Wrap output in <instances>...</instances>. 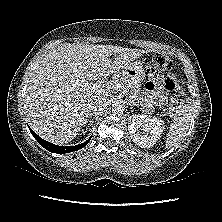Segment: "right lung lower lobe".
Instances as JSON below:
<instances>
[{
	"label": "right lung lower lobe",
	"instance_id": "right-lung-lower-lobe-1",
	"mask_svg": "<svg viewBox=\"0 0 222 222\" xmlns=\"http://www.w3.org/2000/svg\"><path fill=\"white\" fill-rule=\"evenodd\" d=\"M29 129H30L31 134L36 138V140L39 142L40 145H42L48 151L53 152V153H58V154L69 153V152L79 150L83 148L84 146H86L88 142L90 141V138H89L86 142L80 145L63 147V146H58V145H55V144H52L50 142L43 140L30 127Z\"/></svg>",
	"mask_w": 222,
	"mask_h": 222
}]
</instances>
